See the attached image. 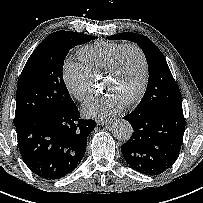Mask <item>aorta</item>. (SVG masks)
I'll list each match as a JSON object with an SVG mask.
<instances>
[{"mask_svg":"<svg viewBox=\"0 0 203 203\" xmlns=\"http://www.w3.org/2000/svg\"><path fill=\"white\" fill-rule=\"evenodd\" d=\"M112 132L118 140L128 141L132 136L133 128L127 120L118 119L112 125Z\"/></svg>","mask_w":203,"mask_h":203,"instance_id":"762f6f07","label":"aorta"}]
</instances>
